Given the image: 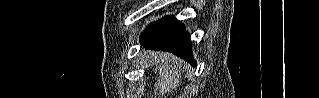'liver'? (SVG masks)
I'll return each mask as SVG.
<instances>
[{
	"label": "liver",
	"mask_w": 319,
	"mask_h": 98,
	"mask_svg": "<svg viewBox=\"0 0 319 98\" xmlns=\"http://www.w3.org/2000/svg\"><path fill=\"white\" fill-rule=\"evenodd\" d=\"M150 55L155 59V74L158 70L159 75L155 77V91L158 90L163 95L177 90L181 84L180 69L175 65V63L177 64V58L166 52H152Z\"/></svg>",
	"instance_id": "1"
}]
</instances>
